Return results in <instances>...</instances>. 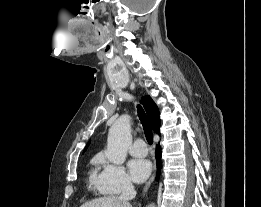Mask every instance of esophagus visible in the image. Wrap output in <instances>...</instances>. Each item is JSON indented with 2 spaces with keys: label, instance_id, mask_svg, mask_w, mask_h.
Here are the masks:
<instances>
[{
  "label": "esophagus",
  "instance_id": "esophagus-1",
  "mask_svg": "<svg viewBox=\"0 0 261 207\" xmlns=\"http://www.w3.org/2000/svg\"><path fill=\"white\" fill-rule=\"evenodd\" d=\"M156 175V171L154 172L153 176L151 177V179L149 180V182L145 185L143 191L146 192L151 184V182L153 181L154 177Z\"/></svg>",
  "mask_w": 261,
  "mask_h": 207
}]
</instances>
